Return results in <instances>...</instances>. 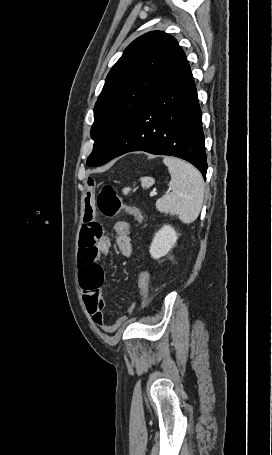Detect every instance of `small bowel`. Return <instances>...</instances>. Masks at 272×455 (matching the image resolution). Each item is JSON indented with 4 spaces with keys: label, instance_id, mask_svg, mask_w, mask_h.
I'll return each instance as SVG.
<instances>
[{
    "label": "small bowel",
    "instance_id": "small-bowel-1",
    "mask_svg": "<svg viewBox=\"0 0 272 455\" xmlns=\"http://www.w3.org/2000/svg\"><path fill=\"white\" fill-rule=\"evenodd\" d=\"M88 193L92 192L94 181L87 180ZM115 241L120 253L125 258L132 255V239L130 225L126 221H118L114 225ZM111 242L103 235L101 225L93 217L89 204H85L83 225L79 237V268L80 285L83 299L93 321L105 332H115L126 320L121 316L114 322H107L104 314L105 300L103 294L104 272L100 257L108 253ZM133 309L131 306L130 311Z\"/></svg>",
    "mask_w": 272,
    "mask_h": 455
}]
</instances>
